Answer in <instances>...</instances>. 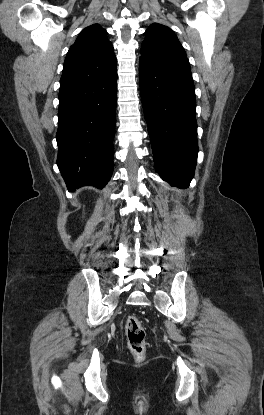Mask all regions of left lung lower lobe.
I'll return each instance as SVG.
<instances>
[{"label":"left lung lower lobe","instance_id":"1","mask_svg":"<svg viewBox=\"0 0 264 415\" xmlns=\"http://www.w3.org/2000/svg\"><path fill=\"white\" fill-rule=\"evenodd\" d=\"M139 81L156 170L172 186L188 187L198 153L191 72L140 59Z\"/></svg>","mask_w":264,"mask_h":415}]
</instances>
